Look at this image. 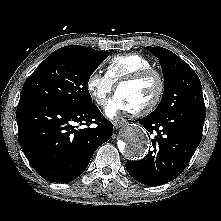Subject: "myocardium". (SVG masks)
Masks as SVG:
<instances>
[{"mask_svg": "<svg viewBox=\"0 0 221 221\" xmlns=\"http://www.w3.org/2000/svg\"><path fill=\"white\" fill-rule=\"evenodd\" d=\"M150 77H155L158 82V91L156 93V96L146 106H144L140 109H137V110H130L129 112L132 115H135V116L147 115V114L151 113L153 110H155V108L160 104V102L162 101V98L164 96L165 87H166L165 79H164L163 75L159 71H157L156 69H153V68L144 69V70H140L138 72H135V73L121 79L116 85V92H117L118 89L123 85L137 83V82L143 81V80L150 78Z\"/></svg>", "mask_w": 221, "mask_h": 221, "instance_id": "f54148a6", "label": "myocardium"}]
</instances>
